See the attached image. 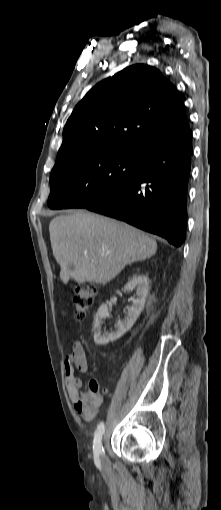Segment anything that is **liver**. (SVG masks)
Wrapping results in <instances>:
<instances>
[{"label": "liver", "instance_id": "liver-1", "mask_svg": "<svg viewBox=\"0 0 221 510\" xmlns=\"http://www.w3.org/2000/svg\"><path fill=\"white\" fill-rule=\"evenodd\" d=\"M49 232L64 284L70 279L78 284H106L126 265L157 251V242L139 229L84 211L53 218Z\"/></svg>", "mask_w": 221, "mask_h": 510}]
</instances>
